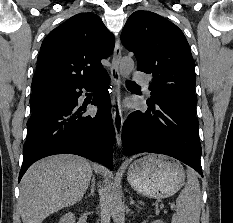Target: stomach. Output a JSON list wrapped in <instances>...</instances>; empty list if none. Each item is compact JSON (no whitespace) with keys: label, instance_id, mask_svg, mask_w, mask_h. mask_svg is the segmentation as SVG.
Returning a JSON list of instances; mask_svg holds the SVG:
<instances>
[{"label":"stomach","instance_id":"1","mask_svg":"<svg viewBox=\"0 0 233 223\" xmlns=\"http://www.w3.org/2000/svg\"><path fill=\"white\" fill-rule=\"evenodd\" d=\"M185 171L175 159L159 153H148L130 163L127 179L141 195L162 199L170 197L184 185Z\"/></svg>","mask_w":233,"mask_h":223}]
</instances>
